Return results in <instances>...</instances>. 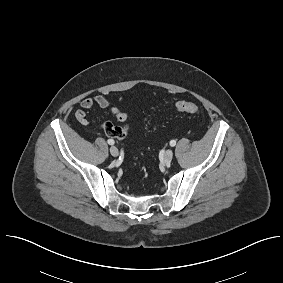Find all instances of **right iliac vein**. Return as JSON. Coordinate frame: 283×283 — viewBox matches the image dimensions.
<instances>
[{"instance_id":"1","label":"right iliac vein","mask_w":283,"mask_h":283,"mask_svg":"<svg viewBox=\"0 0 283 283\" xmlns=\"http://www.w3.org/2000/svg\"><path fill=\"white\" fill-rule=\"evenodd\" d=\"M110 153H111L112 156L116 157V156H118L119 151H118L117 147L111 146L110 147Z\"/></svg>"}]
</instances>
